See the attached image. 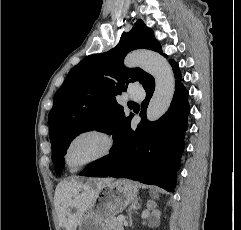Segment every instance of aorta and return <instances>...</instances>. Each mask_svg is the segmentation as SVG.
I'll use <instances>...</instances> for the list:
<instances>
[{"mask_svg": "<svg viewBox=\"0 0 241 230\" xmlns=\"http://www.w3.org/2000/svg\"><path fill=\"white\" fill-rule=\"evenodd\" d=\"M124 64L128 68L141 67L153 76L155 90L147 108V119L158 120L169 109L175 92L174 74L169 63L157 53L132 52L126 56Z\"/></svg>", "mask_w": 241, "mask_h": 230, "instance_id": "1", "label": "aorta"}]
</instances>
